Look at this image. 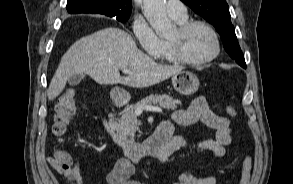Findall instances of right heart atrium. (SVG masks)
Listing matches in <instances>:
<instances>
[{
	"mask_svg": "<svg viewBox=\"0 0 293 184\" xmlns=\"http://www.w3.org/2000/svg\"><path fill=\"white\" fill-rule=\"evenodd\" d=\"M133 34L140 47L151 57H157L162 47V39L154 32L149 23L141 16L132 22Z\"/></svg>",
	"mask_w": 293,
	"mask_h": 184,
	"instance_id": "1",
	"label": "right heart atrium"
}]
</instances>
